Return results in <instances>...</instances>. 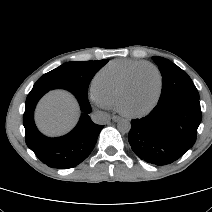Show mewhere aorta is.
Here are the masks:
<instances>
[{
  "label": "aorta",
  "instance_id": "aorta-1",
  "mask_svg": "<svg viewBox=\"0 0 212 212\" xmlns=\"http://www.w3.org/2000/svg\"><path fill=\"white\" fill-rule=\"evenodd\" d=\"M117 128L121 133H128L131 129V123L128 120H121L117 124Z\"/></svg>",
  "mask_w": 212,
  "mask_h": 212
}]
</instances>
